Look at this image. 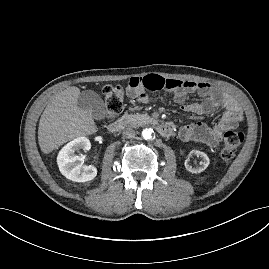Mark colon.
Instances as JSON below:
<instances>
[{
	"label": "colon",
	"mask_w": 269,
	"mask_h": 269,
	"mask_svg": "<svg viewBox=\"0 0 269 269\" xmlns=\"http://www.w3.org/2000/svg\"><path fill=\"white\" fill-rule=\"evenodd\" d=\"M103 95L109 117L118 116L124 106L125 92L119 85H106L103 88ZM244 140V134L240 131L228 130L223 137V144L220 151L221 158L228 162L231 161Z\"/></svg>",
	"instance_id": "colon-1"
}]
</instances>
